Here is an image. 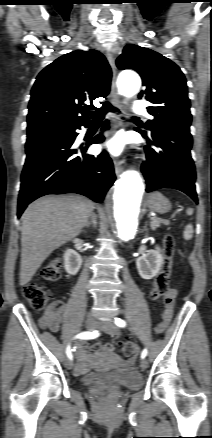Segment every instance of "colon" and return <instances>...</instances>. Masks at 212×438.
<instances>
[{
    "label": "colon",
    "instance_id": "obj_1",
    "mask_svg": "<svg viewBox=\"0 0 212 438\" xmlns=\"http://www.w3.org/2000/svg\"><path fill=\"white\" fill-rule=\"evenodd\" d=\"M175 240L171 234L164 238L163 263L157 274L155 281L148 292L150 300H157L164 296L169 290V280L172 268V258L174 254ZM61 275V262L54 259L46 264L42 271L41 277L49 282H55ZM24 296L31 307L35 310H41L45 307L50 297V289L47 286L29 283L24 288ZM122 351L125 355L130 356L135 352V345L132 342L121 343Z\"/></svg>",
    "mask_w": 212,
    "mask_h": 438
}]
</instances>
